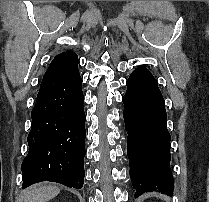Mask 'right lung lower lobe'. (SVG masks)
<instances>
[{"label":"right lung lower lobe","mask_w":209,"mask_h":202,"mask_svg":"<svg viewBox=\"0 0 209 202\" xmlns=\"http://www.w3.org/2000/svg\"><path fill=\"white\" fill-rule=\"evenodd\" d=\"M56 56L43 76L22 162V187L45 180L80 189L85 176L84 96L79 71Z\"/></svg>","instance_id":"obj_1"}]
</instances>
